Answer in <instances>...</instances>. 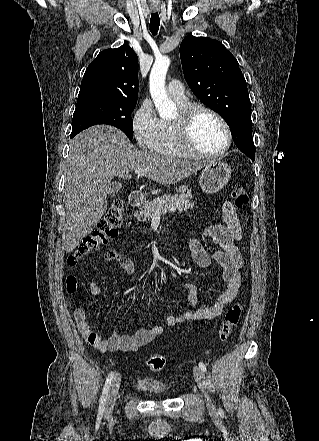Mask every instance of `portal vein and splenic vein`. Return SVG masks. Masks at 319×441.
<instances>
[{"mask_svg":"<svg viewBox=\"0 0 319 441\" xmlns=\"http://www.w3.org/2000/svg\"><path fill=\"white\" fill-rule=\"evenodd\" d=\"M134 171H135V174H138V175H141L144 172V170L141 168H135ZM155 214L158 215L160 213H159V211H156Z\"/></svg>","mask_w":319,"mask_h":441,"instance_id":"portal-vein-and-splenic-vein-1","label":"portal vein and splenic vein"}]
</instances>
